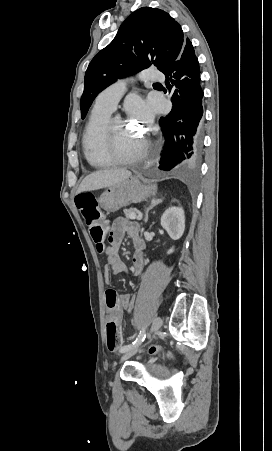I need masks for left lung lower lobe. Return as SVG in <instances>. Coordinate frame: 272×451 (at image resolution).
Here are the masks:
<instances>
[{"instance_id": "left-lung-lower-lobe-1", "label": "left lung lower lobe", "mask_w": 272, "mask_h": 451, "mask_svg": "<svg viewBox=\"0 0 272 451\" xmlns=\"http://www.w3.org/2000/svg\"><path fill=\"white\" fill-rule=\"evenodd\" d=\"M171 91V112L160 119L165 145L159 169H186L197 165L202 152L203 89L192 43L186 38L178 58L165 70Z\"/></svg>"}]
</instances>
